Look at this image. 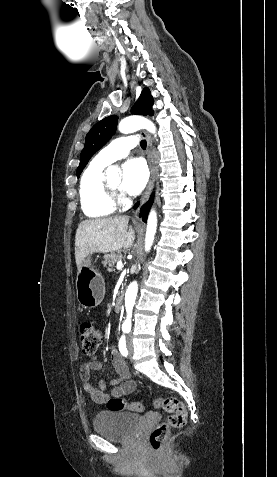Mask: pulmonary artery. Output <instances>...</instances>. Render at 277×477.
Segmentation results:
<instances>
[{
    "mask_svg": "<svg viewBox=\"0 0 277 477\" xmlns=\"http://www.w3.org/2000/svg\"><path fill=\"white\" fill-rule=\"evenodd\" d=\"M137 145V139L133 135L117 138L108 146L103 148L95 159L104 164H111L114 161L126 157L129 151Z\"/></svg>",
    "mask_w": 277,
    "mask_h": 477,
    "instance_id": "pulmonary-artery-1",
    "label": "pulmonary artery"
}]
</instances>
